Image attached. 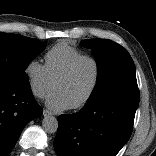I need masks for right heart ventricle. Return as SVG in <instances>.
<instances>
[{
  "instance_id": "obj_1",
  "label": "right heart ventricle",
  "mask_w": 156,
  "mask_h": 156,
  "mask_svg": "<svg viewBox=\"0 0 156 156\" xmlns=\"http://www.w3.org/2000/svg\"><path fill=\"white\" fill-rule=\"evenodd\" d=\"M81 55V50L67 42H59L51 47L45 54V67L50 79L54 82Z\"/></svg>"
}]
</instances>
